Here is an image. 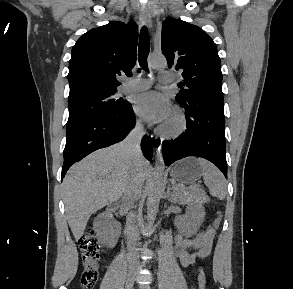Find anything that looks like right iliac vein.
<instances>
[{"mask_svg":"<svg viewBox=\"0 0 293 289\" xmlns=\"http://www.w3.org/2000/svg\"><path fill=\"white\" fill-rule=\"evenodd\" d=\"M136 266H131L127 276L126 289H133Z\"/></svg>","mask_w":293,"mask_h":289,"instance_id":"1","label":"right iliac vein"}]
</instances>
